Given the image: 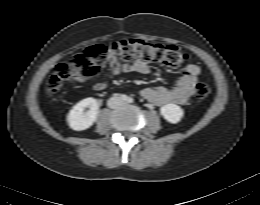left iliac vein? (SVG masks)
Instances as JSON below:
<instances>
[{"label": "left iliac vein", "instance_id": "obj_1", "mask_svg": "<svg viewBox=\"0 0 260 205\" xmlns=\"http://www.w3.org/2000/svg\"><path fill=\"white\" fill-rule=\"evenodd\" d=\"M121 103H122V104H124V103H125V101H122V100H121Z\"/></svg>", "mask_w": 260, "mask_h": 205}]
</instances>
